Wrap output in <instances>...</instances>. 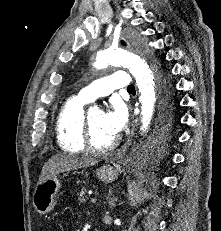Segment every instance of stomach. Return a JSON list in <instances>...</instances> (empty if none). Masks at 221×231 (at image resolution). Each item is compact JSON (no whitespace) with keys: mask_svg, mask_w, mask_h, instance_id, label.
<instances>
[{"mask_svg":"<svg viewBox=\"0 0 221 231\" xmlns=\"http://www.w3.org/2000/svg\"><path fill=\"white\" fill-rule=\"evenodd\" d=\"M96 175L105 183L113 182L118 178L117 170L110 164L99 167ZM60 187L61 182L56 175L37 184L33 193V207L39 214H46L54 209Z\"/></svg>","mask_w":221,"mask_h":231,"instance_id":"0dacf381","label":"stomach"}]
</instances>
